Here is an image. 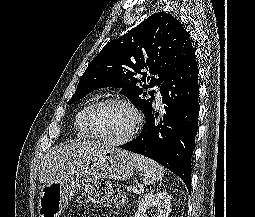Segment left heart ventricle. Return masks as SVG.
Instances as JSON below:
<instances>
[{"instance_id": "b2bd125f", "label": "left heart ventricle", "mask_w": 255, "mask_h": 217, "mask_svg": "<svg viewBox=\"0 0 255 217\" xmlns=\"http://www.w3.org/2000/svg\"><path fill=\"white\" fill-rule=\"evenodd\" d=\"M93 125L106 139L117 140L126 136L135 123L130 109L118 104H108L97 109L93 115Z\"/></svg>"}]
</instances>
